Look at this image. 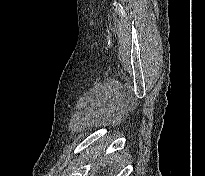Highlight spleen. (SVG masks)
I'll list each match as a JSON object with an SVG mask.
<instances>
[{
    "mask_svg": "<svg viewBox=\"0 0 205 176\" xmlns=\"http://www.w3.org/2000/svg\"><path fill=\"white\" fill-rule=\"evenodd\" d=\"M109 165H110V166H113V165H114V167H115V164H113V158H111V161L109 162ZM117 176H119V175H117Z\"/></svg>",
    "mask_w": 205,
    "mask_h": 176,
    "instance_id": "spleen-1",
    "label": "spleen"
}]
</instances>
